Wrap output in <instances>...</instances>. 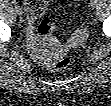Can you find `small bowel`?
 Masks as SVG:
<instances>
[{"mask_svg": "<svg viewBox=\"0 0 111 106\" xmlns=\"http://www.w3.org/2000/svg\"><path fill=\"white\" fill-rule=\"evenodd\" d=\"M50 1H37V0H27L24 1V6L27 11L28 28L27 33L30 38L34 37L33 23L36 18L40 16L45 10Z\"/></svg>", "mask_w": 111, "mask_h": 106, "instance_id": "1", "label": "small bowel"}]
</instances>
